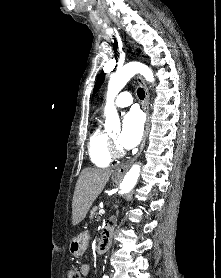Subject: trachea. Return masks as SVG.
<instances>
[{"label":"trachea","instance_id":"1","mask_svg":"<svg viewBox=\"0 0 221 278\" xmlns=\"http://www.w3.org/2000/svg\"><path fill=\"white\" fill-rule=\"evenodd\" d=\"M137 95L141 100H143L144 97H145V91L142 88H138L137 89Z\"/></svg>","mask_w":221,"mask_h":278}]
</instances>
